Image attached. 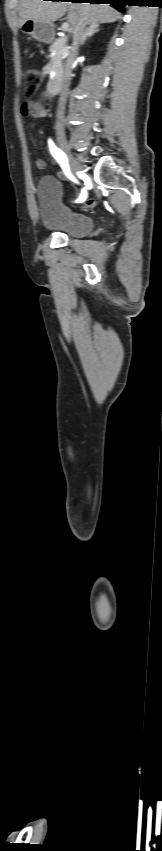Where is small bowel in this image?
I'll return each instance as SVG.
<instances>
[{
	"instance_id": "small-bowel-1",
	"label": "small bowel",
	"mask_w": 162,
	"mask_h": 851,
	"mask_svg": "<svg viewBox=\"0 0 162 851\" xmlns=\"http://www.w3.org/2000/svg\"><path fill=\"white\" fill-rule=\"evenodd\" d=\"M42 92H43L44 95L47 96V95L50 94L51 91H50L49 88L46 87V88L43 89ZM21 112L24 116L30 115L34 118H44L47 115V110H46L45 106L40 102H33V101H26L22 105ZM34 165L38 169H44L46 167L47 163L43 158L37 157L34 160Z\"/></svg>"
}]
</instances>
